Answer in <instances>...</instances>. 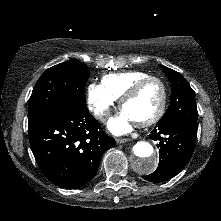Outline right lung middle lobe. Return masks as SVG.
I'll list each match as a JSON object with an SVG mask.
<instances>
[{"instance_id":"1","label":"right lung middle lobe","mask_w":221,"mask_h":221,"mask_svg":"<svg viewBox=\"0 0 221 221\" xmlns=\"http://www.w3.org/2000/svg\"><path fill=\"white\" fill-rule=\"evenodd\" d=\"M89 75V67L79 61L60 63L47 69L29 99V127L61 111L71 102L85 104V84Z\"/></svg>"}]
</instances>
